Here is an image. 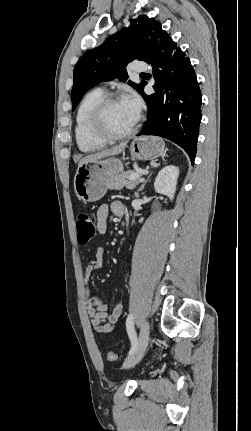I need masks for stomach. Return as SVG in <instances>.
I'll list each match as a JSON object with an SVG mask.
<instances>
[{
    "label": "stomach",
    "mask_w": 251,
    "mask_h": 431,
    "mask_svg": "<svg viewBox=\"0 0 251 431\" xmlns=\"http://www.w3.org/2000/svg\"><path fill=\"white\" fill-rule=\"evenodd\" d=\"M164 142L157 137H137L129 147L133 159L153 160L163 154ZM123 171L120 159L110 157L86 162L78 167L74 177L76 196L83 202L100 200L108 189V182L112 176Z\"/></svg>",
    "instance_id": "1"
}]
</instances>
